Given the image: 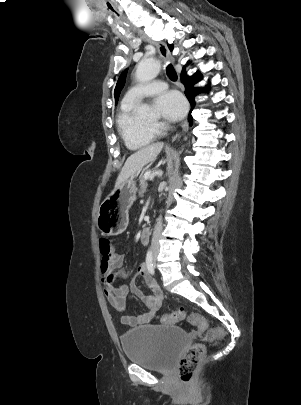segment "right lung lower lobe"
Wrapping results in <instances>:
<instances>
[{"mask_svg":"<svg viewBox=\"0 0 301 405\" xmlns=\"http://www.w3.org/2000/svg\"><path fill=\"white\" fill-rule=\"evenodd\" d=\"M181 78H182L183 84L185 85V94L191 104V111H192V109L195 106L194 97L196 96V94L198 92H200L199 89L194 88L193 86L197 81H199L202 78V76L198 72L195 73L193 76H187L185 69H183ZM208 89H209V86H206L205 88H203L204 91H208ZM191 111H190L189 118H188V120L190 121V125L192 124Z\"/></svg>","mask_w":301,"mask_h":405,"instance_id":"98d812e1","label":"right lung lower lobe"}]
</instances>
